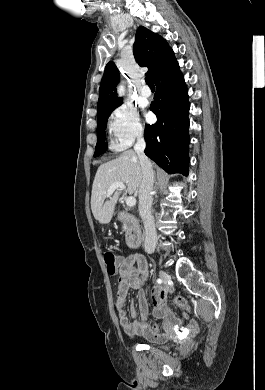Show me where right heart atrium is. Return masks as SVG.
Instances as JSON below:
<instances>
[{"mask_svg":"<svg viewBox=\"0 0 265 390\" xmlns=\"http://www.w3.org/2000/svg\"><path fill=\"white\" fill-rule=\"evenodd\" d=\"M108 128L113 136V144L119 150L131 146L144 133L138 112L126 104L117 106L111 112Z\"/></svg>","mask_w":265,"mask_h":390,"instance_id":"right-heart-atrium-1","label":"right heart atrium"}]
</instances>
